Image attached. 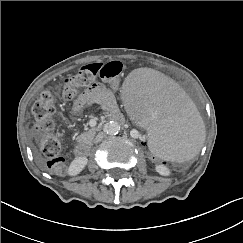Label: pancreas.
I'll list each match as a JSON object with an SVG mask.
<instances>
[{
  "label": "pancreas",
  "mask_w": 243,
  "mask_h": 243,
  "mask_svg": "<svg viewBox=\"0 0 243 243\" xmlns=\"http://www.w3.org/2000/svg\"><path fill=\"white\" fill-rule=\"evenodd\" d=\"M95 134H96V129L94 128L89 129L87 132L80 134L77 138V141L78 142L91 141Z\"/></svg>",
  "instance_id": "obj_1"
}]
</instances>
